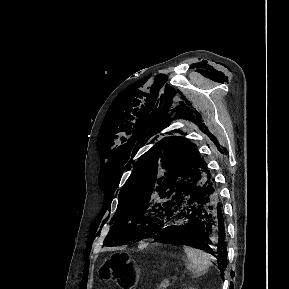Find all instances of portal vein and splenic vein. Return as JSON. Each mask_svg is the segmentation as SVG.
Here are the masks:
<instances>
[{
	"label": "portal vein and splenic vein",
	"instance_id": "18ae733b",
	"mask_svg": "<svg viewBox=\"0 0 289 289\" xmlns=\"http://www.w3.org/2000/svg\"><path fill=\"white\" fill-rule=\"evenodd\" d=\"M170 286V281L169 280H164L163 282H161L160 287L162 289H167Z\"/></svg>",
	"mask_w": 289,
	"mask_h": 289
}]
</instances>
